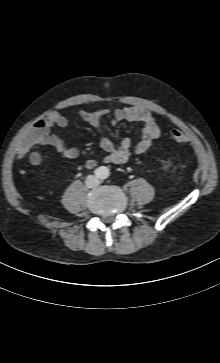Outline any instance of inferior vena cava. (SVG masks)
<instances>
[{
  "label": "inferior vena cava",
  "mask_w": 220,
  "mask_h": 363,
  "mask_svg": "<svg viewBox=\"0 0 220 363\" xmlns=\"http://www.w3.org/2000/svg\"><path fill=\"white\" fill-rule=\"evenodd\" d=\"M98 184H99V180L95 176H89L86 179V185L89 188L96 187V186H98Z\"/></svg>",
  "instance_id": "1"
}]
</instances>
